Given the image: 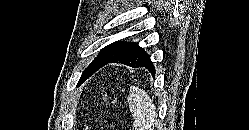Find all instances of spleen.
I'll return each instance as SVG.
<instances>
[{
	"label": "spleen",
	"mask_w": 249,
	"mask_h": 130,
	"mask_svg": "<svg viewBox=\"0 0 249 130\" xmlns=\"http://www.w3.org/2000/svg\"><path fill=\"white\" fill-rule=\"evenodd\" d=\"M128 102L135 119V130H153L158 122L157 112L153 100L147 95V92L139 87H131Z\"/></svg>",
	"instance_id": "1"
}]
</instances>
